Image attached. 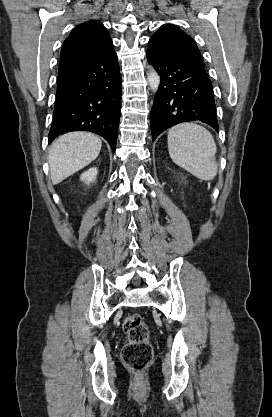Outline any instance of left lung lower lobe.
I'll list each match as a JSON object with an SVG mask.
<instances>
[{
    "instance_id": "1",
    "label": "left lung lower lobe",
    "mask_w": 272,
    "mask_h": 417,
    "mask_svg": "<svg viewBox=\"0 0 272 417\" xmlns=\"http://www.w3.org/2000/svg\"><path fill=\"white\" fill-rule=\"evenodd\" d=\"M146 55L161 78L151 110L152 140L187 121H201L218 131L213 87L203 63L150 49Z\"/></svg>"
}]
</instances>
